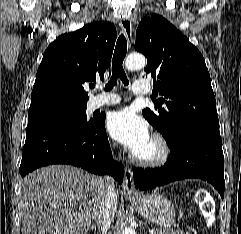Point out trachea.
Here are the masks:
<instances>
[{"label":"trachea","instance_id":"obj_1","mask_svg":"<svg viewBox=\"0 0 241 234\" xmlns=\"http://www.w3.org/2000/svg\"><path fill=\"white\" fill-rule=\"evenodd\" d=\"M127 53V40L123 34H121L117 40L113 61H112V76L110 81L106 85V90H111L117 83L118 78L128 86L129 81L126 77L125 71L123 69V61Z\"/></svg>","mask_w":241,"mask_h":234}]
</instances>
